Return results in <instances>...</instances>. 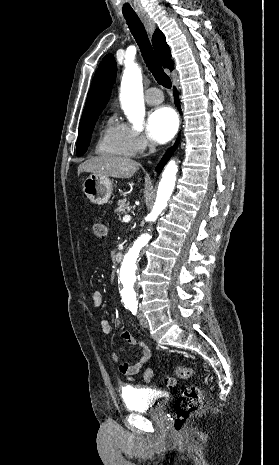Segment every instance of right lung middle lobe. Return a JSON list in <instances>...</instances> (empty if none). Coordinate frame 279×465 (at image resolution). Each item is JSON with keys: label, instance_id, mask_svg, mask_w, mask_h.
Returning a JSON list of instances; mask_svg holds the SVG:
<instances>
[{"label": "right lung middle lobe", "instance_id": "obj_1", "mask_svg": "<svg viewBox=\"0 0 279 465\" xmlns=\"http://www.w3.org/2000/svg\"><path fill=\"white\" fill-rule=\"evenodd\" d=\"M97 119H98V116L94 120H92L88 125L79 127L77 148H76L78 156L86 152L87 147L89 146L90 139H91L93 127Z\"/></svg>", "mask_w": 279, "mask_h": 465}]
</instances>
